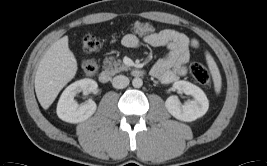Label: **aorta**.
Instances as JSON below:
<instances>
[{
	"label": "aorta",
	"instance_id": "aorta-1",
	"mask_svg": "<svg viewBox=\"0 0 267 166\" xmlns=\"http://www.w3.org/2000/svg\"><path fill=\"white\" fill-rule=\"evenodd\" d=\"M132 85L133 87L135 88H140L142 85H143V81L141 78L139 77H136L132 80Z\"/></svg>",
	"mask_w": 267,
	"mask_h": 166
}]
</instances>
